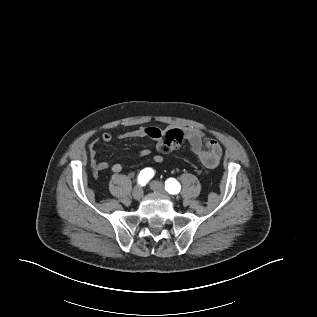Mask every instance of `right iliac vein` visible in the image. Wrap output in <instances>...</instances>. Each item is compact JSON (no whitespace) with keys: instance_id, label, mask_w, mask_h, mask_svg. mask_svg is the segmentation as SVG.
Here are the masks:
<instances>
[{"instance_id":"63e3f726","label":"right iliac vein","mask_w":317,"mask_h":317,"mask_svg":"<svg viewBox=\"0 0 317 317\" xmlns=\"http://www.w3.org/2000/svg\"><path fill=\"white\" fill-rule=\"evenodd\" d=\"M132 195L134 197V199L136 200H140L143 197V189L141 186H136L133 189Z\"/></svg>"}]
</instances>
